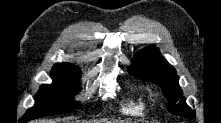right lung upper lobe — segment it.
Segmentation results:
<instances>
[{
    "mask_svg": "<svg viewBox=\"0 0 221 123\" xmlns=\"http://www.w3.org/2000/svg\"><path fill=\"white\" fill-rule=\"evenodd\" d=\"M55 66H68V67H73V68L80 70L77 66L70 64V63H57Z\"/></svg>",
    "mask_w": 221,
    "mask_h": 123,
    "instance_id": "1",
    "label": "right lung upper lobe"
}]
</instances>
